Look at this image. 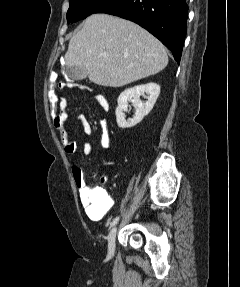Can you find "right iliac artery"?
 <instances>
[{"label": "right iliac artery", "mask_w": 240, "mask_h": 287, "mask_svg": "<svg viewBox=\"0 0 240 287\" xmlns=\"http://www.w3.org/2000/svg\"><path fill=\"white\" fill-rule=\"evenodd\" d=\"M119 221V216H117L116 218L113 219V221L110 224V227L114 226L115 224H117V222Z\"/></svg>", "instance_id": "82829eb1"}]
</instances>
